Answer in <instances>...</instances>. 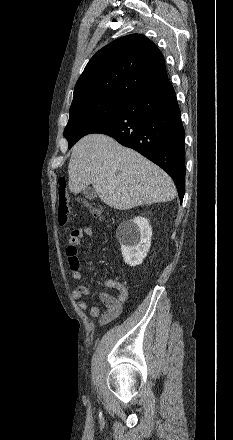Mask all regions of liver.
I'll use <instances>...</instances> for the list:
<instances>
[{
	"mask_svg": "<svg viewBox=\"0 0 233 440\" xmlns=\"http://www.w3.org/2000/svg\"><path fill=\"white\" fill-rule=\"evenodd\" d=\"M68 173L71 192L92 184L100 199L118 210L168 202L176 195L166 172L103 134L86 135L74 145Z\"/></svg>",
	"mask_w": 233,
	"mask_h": 440,
	"instance_id": "1",
	"label": "liver"
}]
</instances>
